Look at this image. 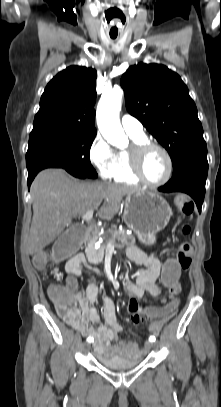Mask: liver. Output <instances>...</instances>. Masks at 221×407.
Returning a JSON list of instances; mask_svg holds the SVG:
<instances>
[{"instance_id":"liver-1","label":"liver","mask_w":221,"mask_h":407,"mask_svg":"<svg viewBox=\"0 0 221 407\" xmlns=\"http://www.w3.org/2000/svg\"><path fill=\"white\" fill-rule=\"evenodd\" d=\"M140 189L106 182H79L63 169L41 171L31 185L33 218L28 239L31 255L53 242L72 219L96 209L103 219H112L125 195ZM102 206L98 210V207Z\"/></svg>"}]
</instances>
